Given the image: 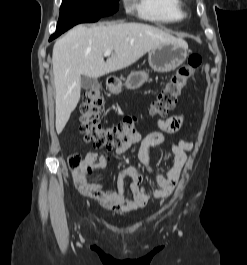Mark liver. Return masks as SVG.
<instances>
[{"instance_id": "6515ba94", "label": "liver", "mask_w": 247, "mask_h": 265, "mask_svg": "<svg viewBox=\"0 0 247 265\" xmlns=\"http://www.w3.org/2000/svg\"><path fill=\"white\" fill-rule=\"evenodd\" d=\"M184 42L142 23L78 25L53 47L56 131L62 132L81 95V76L98 78L124 69L162 43ZM114 53L104 61V52Z\"/></svg>"}]
</instances>
